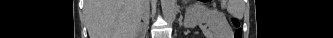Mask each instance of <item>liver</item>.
I'll return each mask as SVG.
<instances>
[{"label": "liver", "mask_w": 333, "mask_h": 38, "mask_svg": "<svg viewBox=\"0 0 333 38\" xmlns=\"http://www.w3.org/2000/svg\"><path fill=\"white\" fill-rule=\"evenodd\" d=\"M143 0H86L90 38H136Z\"/></svg>", "instance_id": "6515ba94"}]
</instances>
